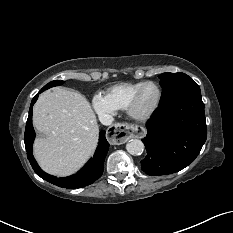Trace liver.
<instances>
[{
  "label": "liver",
  "instance_id": "obj_1",
  "mask_svg": "<svg viewBox=\"0 0 233 233\" xmlns=\"http://www.w3.org/2000/svg\"><path fill=\"white\" fill-rule=\"evenodd\" d=\"M33 125L44 135L34 142V157L49 174L75 173L96 149V115L77 91L56 87L43 92L34 105Z\"/></svg>",
  "mask_w": 233,
  "mask_h": 233
}]
</instances>
